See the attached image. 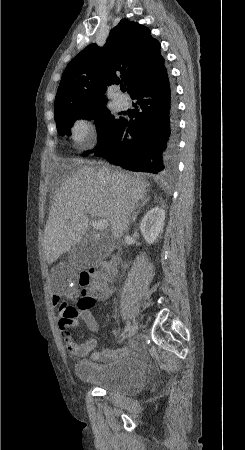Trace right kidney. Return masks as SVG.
<instances>
[{
  "mask_svg": "<svg viewBox=\"0 0 245 450\" xmlns=\"http://www.w3.org/2000/svg\"><path fill=\"white\" fill-rule=\"evenodd\" d=\"M165 211L156 207L148 211L140 224V230L146 242L153 244L163 231Z\"/></svg>",
  "mask_w": 245,
  "mask_h": 450,
  "instance_id": "ca27d5eb",
  "label": "right kidney"
}]
</instances>
